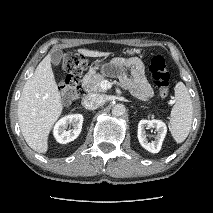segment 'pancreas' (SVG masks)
Instances as JSON below:
<instances>
[{
  "instance_id": "1",
  "label": "pancreas",
  "mask_w": 213,
  "mask_h": 213,
  "mask_svg": "<svg viewBox=\"0 0 213 213\" xmlns=\"http://www.w3.org/2000/svg\"><path fill=\"white\" fill-rule=\"evenodd\" d=\"M104 80L105 77L98 73L88 74L83 78V82L85 83L89 92H102L103 89L101 88L100 84Z\"/></svg>"
}]
</instances>
